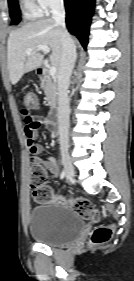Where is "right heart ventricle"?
<instances>
[{
    "label": "right heart ventricle",
    "mask_w": 134,
    "mask_h": 281,
    "mask_svg": "<svg viewBox=\"0 0 134 281\" xmlns=\"http://www.w3.org/2000/svg\"><path fill=\"white\" fill-rule=\"evenodd\" d=\"M21 9L26 19L32 20L41 15L34 0H20Z\"/></svg>",
    "instance_id": "obj_1"
}]
</instances>
